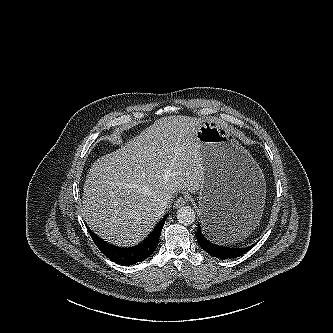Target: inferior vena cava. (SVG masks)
<instances>
[{"label":"inferior vena cava","mask_w":333,"mask_h":333,"mask_svg":"<svg viewBox=\"0 0 333 333\" xmlns=\"http://www.w3.org/2000/svg\"><path fill=\"white\" fill-rule=\"evenodd\" d=\"M169 202H170V201H168V200H166V199L161 200V201L159 202V208L162 209L163 211H165L166 208H167L168 205H169Z\"/></svg>","instance_id":"inferior-vena-cava-1"}]
</instances>
